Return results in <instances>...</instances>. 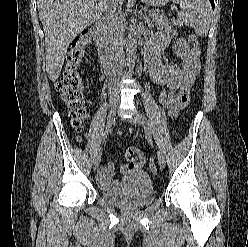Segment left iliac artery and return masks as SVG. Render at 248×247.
Returning <instances> with one entry per match:
<instances>
[{"label":"left iliac artery","mask_w":248,"mask_h":247,"mask_svg":"<svg viewBox=\"0 0 248 247\" xmlns=\"http://www.w3.org/2000/svg\"><path fill=\"white\" fill-rule=\"evenodd\" d=\"M139 116H140V118L142 119V123L145 124V130H146L147 134H148V135H151V132H150V130H149V128H148L147 119L144 117V115H142V114H140V113H139Z\"/></svg>","instance_id":"44dca946"}]
</instances>
